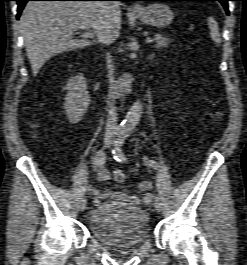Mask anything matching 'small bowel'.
<instances>
[{
    "mask_svg": "<svg viewBox=\"0 0 247 265\" xmlns=\"http://www.w3.org/2000/svg\"><path fill=\"white\" fill-rule=\"evenodd\" d=\"M93 171L101 181H108L110 179L109 171L104 167L96 166L94 167ZM151 189L152 184L150 181H143L139 183L138 190L143 193L142 198L138 197L137 195L126 194L115 189L102 191L88 187L86 192L90 195L98 197L99 199L110 198L112 200L124 201L131 204H138L140 202L144 204H150L153 200V195L150 192Z\"/></svg>",
    "mask_w": 247,
    "mask_h": 265,
    "instance_id": "1",
    "label": "small bowel"
}]
</instances>
